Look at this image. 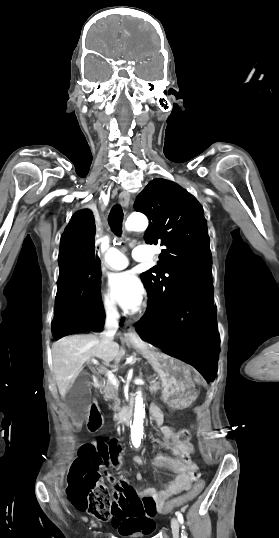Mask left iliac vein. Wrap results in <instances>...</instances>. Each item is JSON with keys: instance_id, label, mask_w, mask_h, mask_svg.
<instances>
[{"instance_id": "4c4485c4", "label": "left iliac vein", "mask_w": 279, "mask_h": 538, "mask_svg": "<svg viewBox=\"0 0 279 538\" xmlns=\"http://www.w3.org/2000/svg\"><path fill=\"white\" fill-rule=\"evenodd\" d=\"M171 528L173 533V538H179V522L177 518L173 517L171 520Z\"/></svg>"}]
</instances>
